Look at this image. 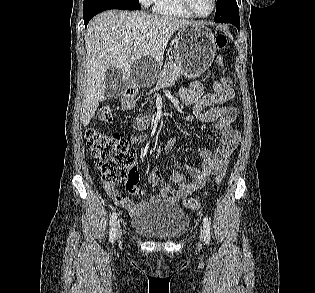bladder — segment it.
<instances>
[{"instance_id": "obj_1", "label": "bladder", "mask_w": 315, "mask_h": 293, "mask_svg": "<svg viewBox=\"0 0 315 293\" xmlns=\"http://www.w3.org/2000/svg\"><path fill=\"white\" fill-rule=\"evenodd\" d=\"M189 223L188 214L178 205L152 202L133 216L131 227L146 237L175 240L186 233Z\"/></svg>"}]
</instances>
